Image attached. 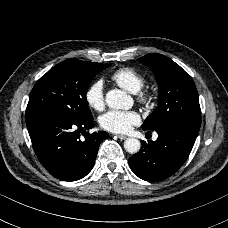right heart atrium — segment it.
Here are the masks:
<instances>
[{"label":"right heart atrium","instance_id":"obj_1","mask_svg":"<svg viewBox=\"0 0 228 228\" xmlns=\"http://www.w3.org/2000/svg\"><path fill=\"white\" fill-rule=\"evenodd\" d=\"M84 99L87 105L96 110L101 111L105 107V84L102 79L93 80L86 88Z\"/></svg>","mask_w":228,"mask_h":228}]
</instances>
